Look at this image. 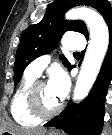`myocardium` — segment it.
Segmentation results:
<instances>
[{"label": "myocardium", "mask_w": 112, "mask_h": 135, "mask_svg": "<svg viewBox=\"0 0 112 135\" xmlns=\"http://www.w3.org/2000/svg\"><path fill=\"white\" fill-rule=\"evenodd\" d=\"M46 85L45 81L37 80L35 81L32 86L29 88L26 101L27 107L31 114L38 119H48L55 115H57L62 107L63 104L59 103L53 110L46 111L41 107L40 100H39V90L42 86Z\"/></svg>", "instance_id": "obj_1"}]
</instances>
